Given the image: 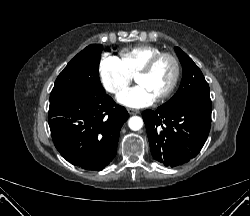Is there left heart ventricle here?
<instances>
[{"label":"left heart ventricle","instance_id":"obj_1","mask_svg":"<svg viewBox=\"0 0 250 216\" xmlns=\"http://www.w3.org/2000/svg\"><path fill=\"white\" fill-rule=\"evenodd\" d=\"M173 73L174 66L172 61L168 58H163L150 73L140 76L137 82L144 85L156 97L167 89L172 80Z\"/></svg>","mask_w":250,"mask_h":216}]
</instances>
